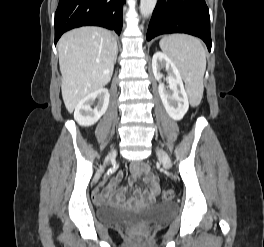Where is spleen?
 <instances>
[{
    "mask_svg": "<svg viewBox=\"0 0 264 247\" xmlns=\"http://www.w3.org/2000/svg\"><path fill=\"white\" fill-rule=\"evenodd\" d=\"M160 47L178 67L186 84L191 102L198 105L203 96L206 53L195 37L174 34L160 40Z\"/></svg>",
    "mask_w": 264,
    "mask_h": 247,
    "instance_id": "3e777b00",
    "label": "spleen"
}]
</instances>
